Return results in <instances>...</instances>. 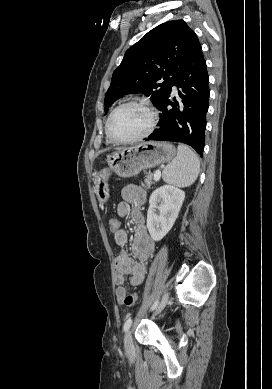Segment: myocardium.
I'll list each match as a JSON object with an SVG mask.
<instances>
[{
    "label": "myocardium",
    "instance_id": "1",
    "mask_svg": "<svg viewBox=\"0 0 272 389\" xmlns=\"http://www.w3.org/2000/svg\"><path fill=\"white\" fill-rule=\"evenodd\" d=\"M130 105H135V106H139V107L143 108L148 113L149 124H148L147 128L142 133H140L134 137H131L128 139H117V138L113 137V135L111 134V131H110L111 120L118 110H120L123 107L130 106ZM156 123H157V113L149 103H147L144 100H140V99H131V100H128V101H125V102L119 104L111 111V113L109 114L107 121H106L105 131H106V135H107L108 139L111 142L116 143V144H127V143L139 141L141 139H144L148 135H150L152 133V131L154 130Z\"/></svg>",
    "mask_w": 272,
    "mask_h": 389
}]
</instances>
